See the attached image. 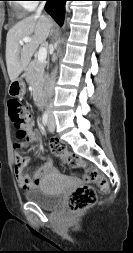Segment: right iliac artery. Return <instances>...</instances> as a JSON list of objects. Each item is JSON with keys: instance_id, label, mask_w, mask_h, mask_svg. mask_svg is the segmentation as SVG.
Segmentation results:
<instances>
[{"instance_id": "82829eb1", "label": "right iliac artery", "mask_w": 133, "mask_h": 253, "mask_svg": "<svg viewBox=\"0 0 133 253\" xmlns=\"http://www.w3.org/2000/svg\"><path fill=\"white\" fill-rule=\"evenodd\" d=\"M42 123L44 126H46L48 124V114L44 113L42 116Z\"/></svg>"}]
</instances>
